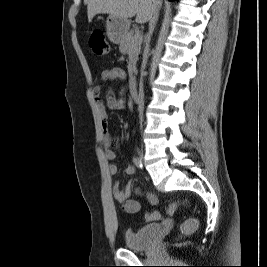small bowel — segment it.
Returning a JSON list of instances; mask_svg holds the SVG:
<instances>
[{"label":"small bowel","instance_id":"1","mask_svg":"<svg viewBox=\"0 0 267 267\" xmlns=\"http://www.w3.org/2000/svg\"><path fill=\"white\" fill-rule=\"evenodd\" d=\"M125 73L120 68H107L102 71L101 79L104 82L112 81L115 79H123ZM93 98L96 103L101 124L103 130V147L105 157L112 163L109 165V173L111 175H116L118 172L117 165L113 162L117 154L114 150V138L109 130V110H124L126 108V100L122 91L115 93L111 88L106 90L105 103L102 99V89L100 86H96L93 89ZM125 172L128 175H133L135 173V168L132 165L126 167ZM113 196L116 201L123 205V209L127 213H138L141 210V204L137 200L129 199L131 192V183L128 182L121 186L118 182L113 184L112 188ZM137 194L143 195L146 201L150 205L158 204V197L152 192L142 193L140 190L136 191Z\"/></svg>","mask_w":267,"mask_h":267}]
</instances>
